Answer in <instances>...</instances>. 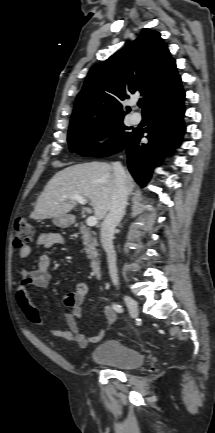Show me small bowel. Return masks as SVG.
<instances>
[{"label": "small bowel", "mask_w": 215, "mask_h": 433, "mask_svg": "<svg viewBox=\"0 0 215 433\" xmlns=\"http://www.w3.org/2000/svg\"><path fill=\"white\" fill-rule=\"evenodd\" d=\"M37 245L44 249H50L56 245L64 243V237L58 232H42L38 235ZM31 254L30 246H23L19 250V256L26 259ZM51 258L47 254L39 257L37 266L33 269L23 268L20 271V281L16 289V301L25 315L26 319L36 326H44V320L40 316L37 308L30 298L28 288L30 286L45 288L51 280L50 274ZM88 294V284L86 282H78L75 289L66 293L64 296V304L68 307L64 318L68 329H52L51 333L61 339L76 342L80 348H86L89 343L99 342L104 334L105 329L100 330L97 334L87 336L80 331L78 321L82 316L81 305ZM103 314L107 325H111L116 320L114 309L105 305Z\"/></svg>", "instance_id": "c3829d8e"}]
</instances>
